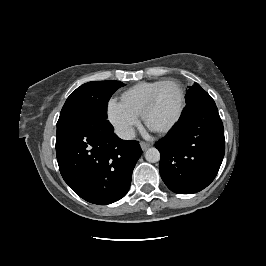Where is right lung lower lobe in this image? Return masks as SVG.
I'll return each mask as SVG.
<instances>
[{
  "mask_svg": "<svg viewBox=\"0 0 266 266\" xmlns=\"http://www.w3.org/2000/svg\"><path fill=\"white\" fill-rule=\"evenodd\" d=\"M105 117L92 116L56 138L64 181L84 200L107 205L123 198L142 154L138 141L121 140Z\"/></svg>",
  "mask_w": 266,
  "mask_h": 266,
  "instance_id": "obj_1",
  "label": "right lung lower lobe"
}]
</instances>
